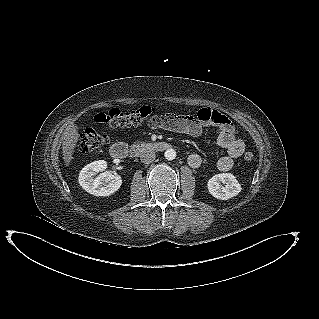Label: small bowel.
Instances as JSON below:
<instances>
[{"mask_svg": "<svg viewBox=\"0 0 319 319\" xmlns=\"http://www.w3.org/2000/svg\"><path fill=\"white\" fill-rule=\"evenodd\" d=\"M95 119L102 122L99 115ZM149 125L154 129H167L191 137H200L206 127H214L217 132V143L227 153L217 161V168L220 171L232 169L234 161L245 150V143L237 137L232 122L225 115L210 108L199 110L197 116L169 113L165 116L153 118ZM188 164L192 168L200 167L202 164L201 156L197 153L191 154L188 157Z\"/></svg>", "mask_w": 319, "mask_h": 319, "instance_id": "1", "label": "small bowel"}]
</instances>
